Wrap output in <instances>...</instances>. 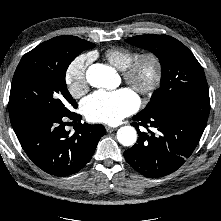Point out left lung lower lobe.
<instances>
[{"mask_svg":"<svg viewBox=\"0 0 221 221\" xmlns=\"http://www.w3.org/2000/svg\"><path fill=\"white\" fill-rule=\"evenodd\" d=\"M209 111V102L188 98L169 103L156 112H139L131 124L139 137L124 152L126 161L146 177L158 178L176 171L197 146ZM139 126L147 131H140Z\"/></svg>","mask_w":221,"mask_h":221,"instance_id":"left-lung-lower-lobe-1","label":"left lung lower lobe"}]
</instances>
